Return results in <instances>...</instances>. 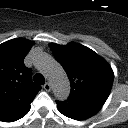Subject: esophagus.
Segmentation results:
<instances>
[{
    "label": "esophagus",
    "instance_id": "1",
    "mask_svg": "<svg viewBox=\"0 0 128 128\" xmlns=\"http://www.w3.org/2000/svg\"><path fill=\"white\" fill-rule=\"evenodd\" d=\"M43 88H44L45 91L49 92V91L51 90V85H50V83H48V82L45 83L44 86H43Z\"/></svg>",
    "mask_w": 128,
    "mask_h": 128
}]
</instances>
